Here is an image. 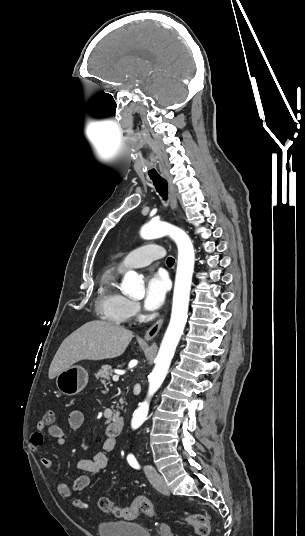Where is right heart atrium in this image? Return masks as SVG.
<instances>
[{"instance_id":"1","label":"right heart atrium","mask_w":305,"mask_h":536,"mask_svg":"<svg viewBox=\"0 0 305 536\" xmlns=\"http://www.w3.org/2000/svg\"><path fill=\"white\" fill-rule=\"evenodd\" d=\"M127 311H128L130 316L136 315V313L138 311L137 303L134 302V301H129V303L127 305Z\"/></svg>"}]
</instances>
